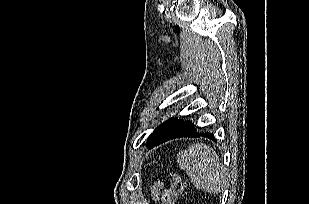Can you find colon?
<instances>
[{"label":"colon","mask_w":309,"mask_h":204,"mask_svg":"<svg viewBox=\"0 0 309 204\" xmlns=\"http://www.w3.org/2000/svg\"><path fill=\"white\" fill-rule=\"evenodd\" d=\"M185 183L182 176L172 171L170 174V184L162 190L161 204H176L183 193Z\"/></svg>","instance_id":"obj_1"}]
</instances>
